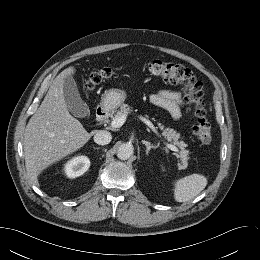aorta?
I'll use <instances>...</instances> for the list:
<instances>
[{
  "instance_id": "762f6f07",
  "label": "aorta",
  "mask_w": 260,
  "mask_h": 260,
  "mask_svg": "<svg viewBox=\"0 0 260 260\" xmlns=\"http://www.w3.org/2000/svg\"><path fill=\"white\" fill-rule=\"evenodd\" d=\"M133 146L128 143H124L118 147L117 157L121 160L129 159L133 154Z\"/></svg>"
}]
</instances>
